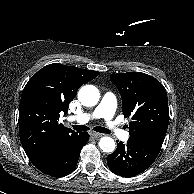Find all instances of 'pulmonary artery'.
I'll return each mask as SVG.
<instances>
[{
	"mask_svg": "<svg viewBox=\"0 0 194 194\" xmlns=\"http://www.w3.org/2000/svg\"><path fill=\"white\" fill-rule=\"evenodd\" d=\"M117 107L116 97L114 94L108 92L106 93L100 104L96 107V109L92 113H81L72 118L77 123H87L92 119L103 118L105 123L111 133L116 137H119L123 140H128L129 136L127 132H124L117 124L116 121L113 120V116Z\"/></svg>",
	"mask_w": 194,
	"mask_h": 194,
	"instance_id": "obj_1",
	"label": "pulmonary artery"
}]
</instances>
